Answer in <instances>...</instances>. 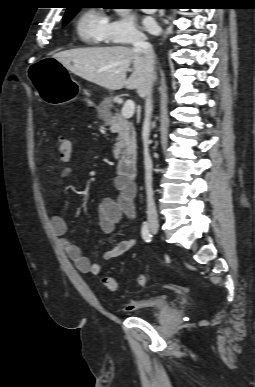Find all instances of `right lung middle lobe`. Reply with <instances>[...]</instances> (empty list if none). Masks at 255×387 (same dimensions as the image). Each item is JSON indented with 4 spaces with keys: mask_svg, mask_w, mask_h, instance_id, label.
Wrapping results in <instances>:
<instances>
[{
    "mask_svg": "<svg viewBox=\"0 0 255 387\" xmlns=\"http://www.w3.org/2000/svg\"><path fill=\"white\" fill-rule=\"evenodd\" d=\"M78 12V8L74 7L72 9H69L64 17V22L63 24H67L73 17L74 15Z\"/></svg>",
    "mask_w": 255,
    "mask_h": 387,
    "instance_id": "dd1d6c3e",
    "label": "right lung middle lobe"
}]
</instances>
